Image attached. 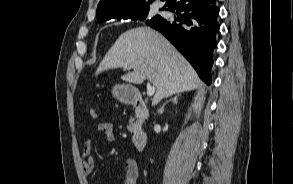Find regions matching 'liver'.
<instances>
[{
    "mask_svg": "<svg viewBox=\"0 0 293 184\" xmlns=\"http://www.w3.org/2000/svg\"><path fill=\"white\" fill-rule=\"evenodd\" d=\"M127 67L133 69L121 78L142 84L150 79L156 87L152 104L173 94L191 91L202 86L189 62L156 30L142 26L122 33L109 49L98 70Z\"/></svg>",
    "mask_w": 293,
    "mask_h": 184,
    "instance_id": "6515ba94",
    "label": "liver"
}]
</instances>
